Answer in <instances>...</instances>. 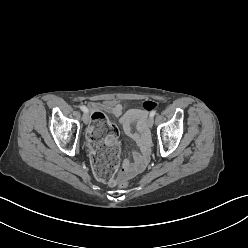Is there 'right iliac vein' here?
Wrapping results in <instances>:
<instances>
[{"label": "right iliac vein", "instance_id": "1", "mask_svg": "<svg viewBox=\"0 0 248 248\" xmlns=\"http://www.w3.org/2000/svg\"><path fill=\"white\" fill-rule=\"evenodd\" d=\"M82 120H83V122H84L85 124H88V122H89V115H88V113L85 112V113L83 114Z\"/></svg>", "mask_w": 248, "mask_h": 248}]
</instances>
